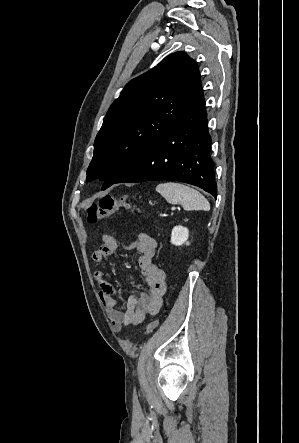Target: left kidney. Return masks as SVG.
I'll list each match as a JSON object with an SVG mask.
<instances>
[{"mask_svg": "<svg viewBox=\"0 0 299 443\" xmlns=\"http://www.w3.org/2000/svg\"><path fill=\"white\" fill-rule=\"evenodd\" d=\"M189 237V231L186 227L183 226H175L171 233V243L175 246H181L186 243L189 245L187 241Z\"/></svg>", "mask_w": 299, "mask_h": 443, "instance_id": "5707ae66", "label": "left kidney"}]
</instances>
